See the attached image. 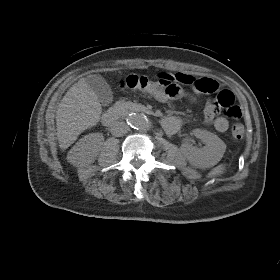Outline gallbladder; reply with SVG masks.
Listing matches in <instances>:
<instances>
[{"instance_id":"bac80fb5","label":"gallbladder","mask_w":280,"mask_h":280,"mask_svg":"<svg viewBox=\"0 0 280 280\" xmlns=\"http://www.w3.org/2000/svg\"><path fill=\"white\" fill-rule=\"evenodd\" d=\"M86 83L96 93L99 102L103 105H108L113 100V95L110 86L105 79L100 75H92L86 78Z\"/></svg>"}]
</instances>
